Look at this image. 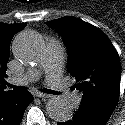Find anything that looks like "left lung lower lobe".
Here are the masks:
<instances>
[{"label":"left lung lower lobe","instance_id":"left-lung-lower-lobe-1","mask_svg":"<svg viewBox=\"0 0 125 125\" xmlns=\"http://www.w3.org/2000/svg\"><path fill=\"white\" fill-rule=\"evenodd\" d=\"M111 112L101 109L89 108L80 105L73 113V117L58 125H105L111 116Z\"/></svg>","mask_w":125,"mask_h":125}]
</instances>
